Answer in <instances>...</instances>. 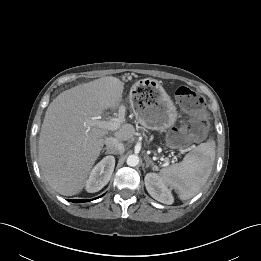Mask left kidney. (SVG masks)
<instances>
[{
	"label": "left kidney",
	"instance_id": "obj_1",
	"mask_svg": "<svg viewBox=\"0 0 261 261\" xmlns=\"http://www.w3.org/2000/svg\"><path fill=\"white\" fill-rule=\"evenodd\" d=\"M145 186L148 193L157 201L170 205L174 202L171 191L167 188L161 177L156 173L145 176Z\"/></svg>",
	"mask_w": 261,
	"mask_h": 261
}]
</instances>
